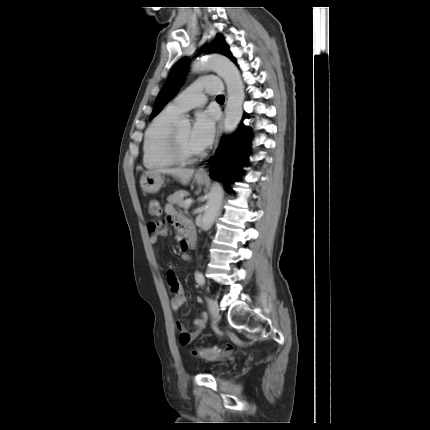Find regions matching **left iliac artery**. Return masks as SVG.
<instances>
[{
	"label": "left iliac artery",
	"instance_id": "44dca946",
	"mask_svg": "<svg viewBox=\"0 0 430 430\" xmlns=\"http://www.w3.org/2000/svg\"><path fill=\"white\" fill-rule=\"evenodd\" d=\"M195 279H196V281L198 282V284H200V285H204V283H205V278H204V276H203V274H202V273H200V272H195Z\"/></svg>",
	"mask_w": 430,
	"mask_h": 430
}]
</instances>
